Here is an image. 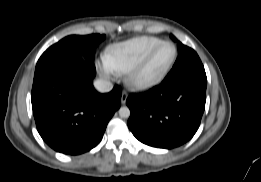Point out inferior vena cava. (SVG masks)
Returning <instances> with one entry per match:
<instances>
[{"label":"inferior vena cava","instance_id":"1","mask_svg":"<svg viewBox=\"0 0 261 182\" xmlns=\"http://www.w3.org/2000/svg\"><path fill=\"white\" fill-rule=\"evenodd\" d=\"M95 88L101 92H110L113 89V84L108 80L98 79L94 82Z\"/></svg>","mask_w":261,"mask_h":182}]
</instances>
